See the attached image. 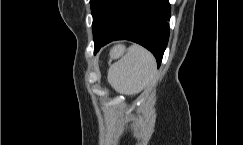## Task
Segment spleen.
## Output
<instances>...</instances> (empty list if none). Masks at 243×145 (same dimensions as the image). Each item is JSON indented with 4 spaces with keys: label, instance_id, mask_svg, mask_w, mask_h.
<instances>
[{
    "label": "spleen",
    "instance_id": "3e777b00",
    "mask_svg": "<svg viewBox=\"0 0 243 145\" xmlns=\"http://www.w3.org/2000/svg\"><path fill=\"white\" fill-rule=\"evenodd\" d=\"M123 52L114 48L112 58H117ZM157 71L154 56L140 45L131 46L120 60L110 66L108 82L117 91L127 94L141 92L154 78Z\"/></svg>",
    "mask_w": 243,
    "mask_h": 145
}]
</instances>
